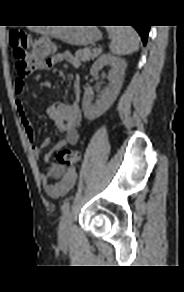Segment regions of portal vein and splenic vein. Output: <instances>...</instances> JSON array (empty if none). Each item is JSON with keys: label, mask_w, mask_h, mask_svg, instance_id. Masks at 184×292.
<instances>
[{"label": "portal vein and splenic vein", "mask_w": 184, "mask_h": 292, "mask_svg": "<svg viewBox=\"0 0 184 292\" xmlns=\"http://www.w3.org/2000/svg\"><path fill=\"white\" fill-rule=\"evenodd\" d=\"M96 50H98L99 52H101V51H102V49H101V48H98V49H96Z\"/></svg>", "instance_id": "portal-vein-and-splenic-vein-1"}]
</instances>
